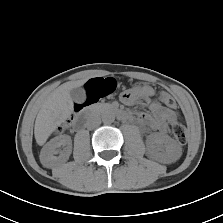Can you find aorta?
Masks as SVG:
<instances>
[{
    "mask_svg": "<svg viewBox=\"0 0 223 223\" xmlns=\"http://www.w3.org/2000/svg\"><path fill=\"white\" fill-rule=\"evenodd\" d=\"M101 118H102L103 123H105V124H111L115 120V116L111 112H105V113H103L102 116H101Z\"/></svg>",
    "mask_w": 223,
    "mask_h": 223,
    "instance_id": "aorta-1",
    "label": "aorta"
}]
</instances>
